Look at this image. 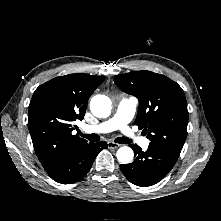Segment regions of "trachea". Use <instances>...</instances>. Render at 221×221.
<instances>
[{
    "instance_id": "3493384b",
    "label": "trachea",
    "mask_w": 221,
    "mask_h": 221,
    "mask_svg": "<svg viewBox=\"0 0 221 221\" xmlns=\"http://www.w3.org/2000/svg\"><path fill=\"white\" fill-rule=\"evenodd\" d=\"M80 135L84 138H87L89 141H92V142L100 141V136L97 134H82V133H80ZM115 142L120 143V144H129V143H131V140H129L128 138H125V137H118L115 139Z\"/></svg>"
}]
</instances>
